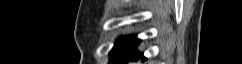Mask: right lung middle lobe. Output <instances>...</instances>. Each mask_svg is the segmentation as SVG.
<instances>
[{
    "label": "right lung middle lobe",
    "mask_w": 242,
    "mask_h": 64,
    "mask_svg": "<svg viewBox=\"0 0 242 64\" xmlns=\"http://www.w3.org/2000/svg\"><path fill=\"white\" fill-rule=\"evenodd\" d=\"M140 40L135 36H127L119 39L110 52L109 64H121L125 59H131L138 54L136 47Z\"/></svg>",
    "instance_id": "right-lung-middle-lobe-1"
}]
</instances>
